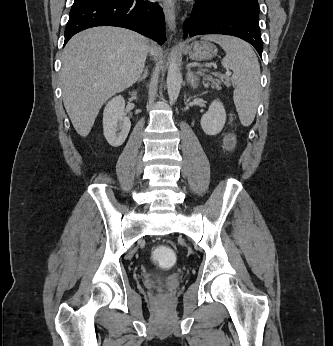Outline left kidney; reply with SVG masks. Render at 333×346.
I'll use <instances>...</instances> for the list:
<instances>
[{
  "label": "left kidney",
  "instance_id": "5707ae66",
  "mask_svg": "<svg viewBox=\"0 0 333 346\" xmlns=\"http://www.w3.org/2000/svg\"><path fill=\"white\" fill-rule=\"evenodd\" d=\"M226 122V112L219 100H214L209 110L202 116L200 124L203 131L210 136L221 132Z\"/></svg>",
  "mask_w": 333,
  "mask_h": 346
}]
</instances>
